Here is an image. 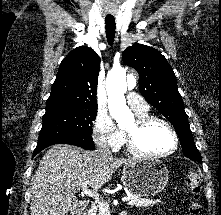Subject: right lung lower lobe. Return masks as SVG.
<instances>
[{"mask_svg": "<svg viewBox=\"0 0 221 215\" xmlns=\"http://www.w3.org/2000/svg\"><path fill=\"white\" fill-rule=\"evenodd\" d=\"M54 144H71L82 147L87 150H93L95 148L92 136L90 134L78 135L73 137H62L52 140L38 141L37 147L33 152V156L37 155L44 148Z\"/></svg>", "mask_w": 221, "mask_h": 215, "instance_id": "98d812e1", "label": "right lung lower lobe"}]
</instances>
